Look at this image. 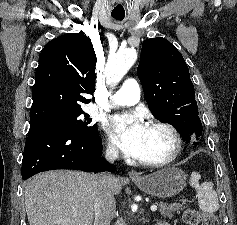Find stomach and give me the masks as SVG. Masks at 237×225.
I'll list each match as a JSON object with an SVG mask.
<instances>
[{"label": "stomach", "mask_w": 237, "mask_h": 225, "mask_svg": "<svg viewBox=\"0 0 237 225\" xmlns=\"http://www.w3.org/2000/svg\"><path fill=\"white\" fill-rule=\"evenodd\" d=\"M132 180L147 194L158 198H170L184 189L187 176L182 170L176 167H167Z\"/></svg>", "instance_id": "stomach-1"}]
</instances>
